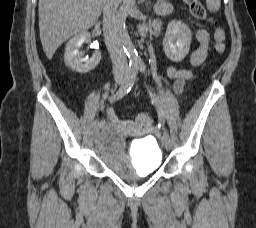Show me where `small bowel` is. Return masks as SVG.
Instances as JSON below:
<instances>
[{
  "instance_id": "c3829d8e",
  "label": "small bowel",
  "mask_w": 256,
  "mask_h": 228,
  "mask_svg": "<svg viewBox=\"0 0 256 228\" xmlns=\"http://www.w3.org/2000/svg\"><path fill=\"white\" fill-rule=\"evenodd\" d=\"M156 11L159 15H167L172 11L170 4L165 2H160L156 5ZM196 39L199 46L191 53L190 63L193 66H198L202 64L208 53L209 48V33L205 29H199L196 33ZM167 76L173 80L172 89L175 93L180 94L185 86V83L191 79L192 72L188 69H178L173 66L166 68ZM106 118L114 125L118 126L120 120L118 119L115 111L110 107H105L104 109ZM151 132L155 133L158 131L157 128H151Z\"/></svg>"
}]
</instances>
